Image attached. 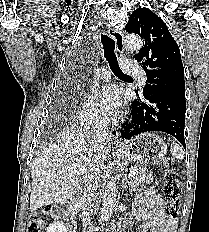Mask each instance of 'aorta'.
<instances>
[{"mask_svg":"<svg viewBox=\"0 0 209 232\" xmlns=\"http://www.w3.org/2000/svg\"><path fill=\"white\" fill-rule=\"evenodd\" d=\"M125 46L132 51L138 52L143 46V41L137 35H127L125 37ZM116 193H117V184L114 178L111 177L106 182L102 194L103 201H102V208L100 212L101 222L107 221L111 217L116 203V196H117Z\"/></svg>","mask_w":209,"mask_h":232,"instance_id":"762f6f07","label":"aorta"}]
</instances>
